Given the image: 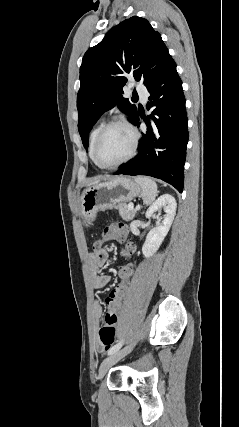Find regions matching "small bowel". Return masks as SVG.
I'll use <instances>...</instances> for the list:
<instances>
[{
	"label": "small bowel",
	"mask_w": 239,
	"mask_h": 427,
	"mask_svg": "<svg viewBox=\"0 0 239 427\" xmlns=\"http://www.w3.org/2000/svg\"><path fill=\"white\" fill-rule=\"evenodd\" d=\"M134 253V251H133ZM108 260V249L102 248L98 251L88 254L87 261L89 270L91 272V283L94 289L99 290L108 285L110 282V276L101 274L100 269L105 265ZM108 307V305H106ZM121 309V308H120ZM103 309L99 301H95L93 304V315L96 320H99L102 316ZM97 349L99 351L104 350V346L101 342L97 343Z\"/></svg>",
	"instance_id": "small-bowel-1"
}]
</instances>
